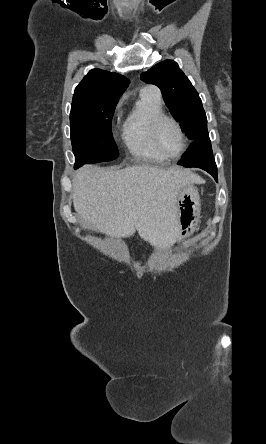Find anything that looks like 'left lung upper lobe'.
I'll return each mask as SVG.
<instances>
[{
    "mask_svg": "<svg viewBox=\"0 0 266 444\" xmlns=\"http://www.w3.org/2000/svg\"><path fill=\"white\" fill-rule=\"evenodd\" d=\"M141 79L160 88L166 105L191 140L196 141L208 134L199 94L176 62H160L143 72Z\"/></svg>",
    "mask_w": 266,
    "mask_h": 444,
    "instance_id": "5c2ea615",
    "label": "left lung upper lobe"
}]
</instances>
